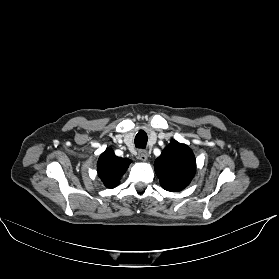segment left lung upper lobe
<instances>
[{"label":"left lung upper lobe","instance_id":"5c2ea615","mask_svg":"<svg viewBox=\"0 0 279 279\" xmlns=\"http://www.w3.org/2000/svg\"><path fill=\"white\" fill-rule=\"evenodd\" d=\"M155 171L165 190L181 191L194 177L196 171L194 154L187 145L173 140L156 159Z\"/></svg>","mask_w":279,"mask_h":279}]
</instances>
